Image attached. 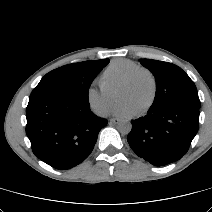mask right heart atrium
Segmentation results:
<instances>
[{
    "label": "right heart atrium",
    "mask_w": 212,
    "mask_h": 212,
    "mask_svg": "<svg viewBox=\"0 0 212 212\" xmlns=\"http://www.w3.org/2000/svg\"><path fill=\"white\" fill-rule=\"evenodd\" d=\"M87 101L91 110L97 115H106L113 101L112 94L100 86V88H91L87 92Z\"/></svg>",
    "instance_id": "d8ad5b80"
}]
</instances>
